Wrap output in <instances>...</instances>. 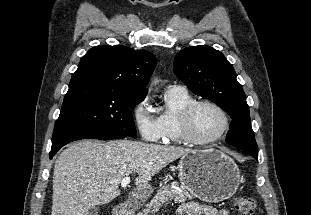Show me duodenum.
Instances as JSON below:
<instances>
[{"label":"duodenum","instance_id":"obj_1","mask_svg":"<svg viewBox=\"0 0 311 215\" xmlns=\"http://www.w3.org/2000/svg\"><path fill=\"white\" fill-rule=\"evenodd\" d=\"M114 215H131V209L124 204H120L116 206Z\"/></svg>","mask_w":311,"mask_h":215}]
</instances>
